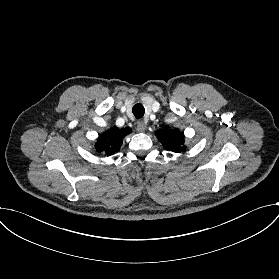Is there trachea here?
I'll use <instances>...</instances> for the list:
<instances>
[{
  "label": "trachea",
  "mask_w": 279,
  "mask_h": 279,
  "mask_svg": "<svg viewBox=\"0 0 279 279\" xmlns=\"http://www.w3.org/2000/svg\"><path fill=\"white\" fill-rule=\"evenodd\" d=\"M132 111L134 116L138 119L144 116V107L140 103L134 105Z\"/></svg>",
  "instance_id": "trachea-1"
}]
</instances>
